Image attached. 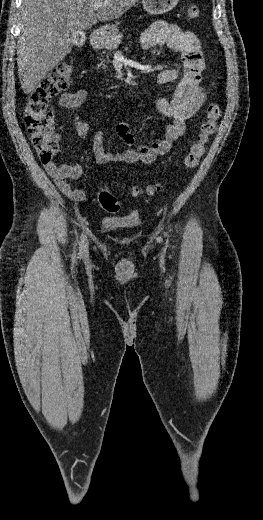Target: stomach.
Returning a JSON list of instances; mask_svg holds the SVG:
<instances>
[{
  "instance_id": "0dacf381",
  "label": "stomach",
  "mask_w": 263,
  "mask_h": 520,
  "mask_svg": "<svg viewBox=\"0 0 263 520\" xmlns=\"http://www.w3.org/2000/svg\"><path fill=\"white\" fill-rule=\"evenodd\" d=\"M179 0H142L144 10L150 15H159L172 10ZM118 33L117 25L103 27L92 39L96 47L105 45V40Z\"/></svg>"
}]
</instances>
